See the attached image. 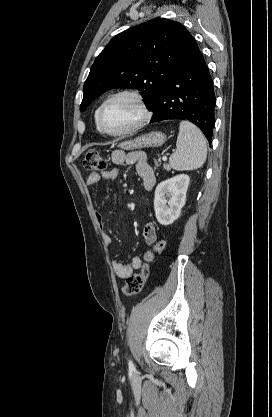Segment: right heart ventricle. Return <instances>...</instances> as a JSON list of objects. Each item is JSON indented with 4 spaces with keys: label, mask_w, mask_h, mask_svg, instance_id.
Here are the masks:
<instances>
[{
    "label": "right heart ventricle",
    "mask_w": 272,
    "mask_h": 417,
    "mask_svg": "<svg viewBox=\"0 0 272 417\" xmlns=\"http://www.w3.org/2000/svg\"><path fill=\"white\" fill-rule=\"evenodd\" d=\"M99 109V108H98ZM98 109L96 110V112H95V120H96V117H97V112H98Z\"/></svg>",
    "instance_id": "1"
}]
</instances>
